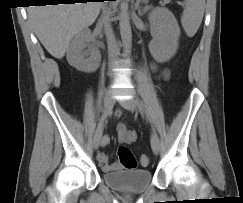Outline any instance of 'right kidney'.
Masks as SVG:
<instances>
[{
    "label": "right kidney",
    "instance_id": "obj_1",
    "mask_svg": "<svg viewBox=\"0 0 243 203\" xmlns=\"http://www.w3.org/2000/svg\"><path fill=\"white\" fill-rule=\"evenodd\" d=\"M93 37L90 29L78 32L67 50L68 63L79 71L94 72L100 63L101 55L98 50L85 48L89 46Z\"/></svg>",
    "mask_w": 243,
    "mask_h": 203
}]
</instances>
